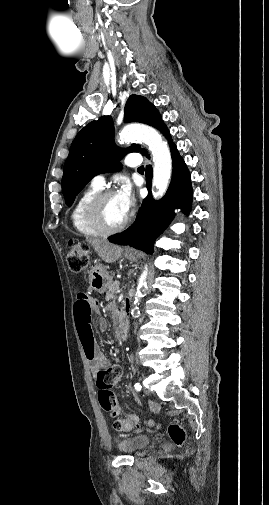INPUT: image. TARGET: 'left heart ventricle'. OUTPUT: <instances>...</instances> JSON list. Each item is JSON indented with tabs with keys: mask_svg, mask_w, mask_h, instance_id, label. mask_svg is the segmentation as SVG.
<instances>
[{
	"mask_svg": "<svg viewBox=\"0 0 269 505\" xmlns=\"http://www.w3.org/2000/svg\"><path fill=\"white\" fill-rule=\"evenodd\" d=\"M115 195L108 197L102 206V218L108 226H117L126 219Z\"/></svg>",
	"mask_w": 269,
	"mask_h": 505,
	"instance_id": "obj_1",
	"label": "left heart ventricle"
}]
</instances>
